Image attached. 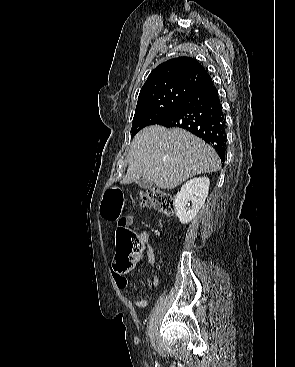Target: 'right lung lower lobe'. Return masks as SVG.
<instances>
[{
  "label": "right lung lower lobe",
  "mask_w": 295,
  "mask_h": 367,
  "mask_svg": "<svg viewBox=\"0 0 295 367\" xmlns=\"http://www.w3.org/2000/svg\"><path fill=\"white\" fill-rule=\"evenodd\" d=\"M157 124L180 127L210 144L223 161L226 151L225 118L216 87L211 82L192 93Z\"/></svg>",
  "instance_id": "98d812e1"
}]
</instances>
